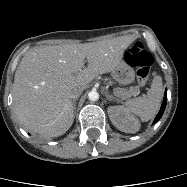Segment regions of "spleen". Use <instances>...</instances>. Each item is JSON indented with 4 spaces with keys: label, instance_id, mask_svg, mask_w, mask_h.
Returning a JSON list of instances; mask_svg holds the SVG:
<instances>
[{
    "label": "spleen",
    "instance_id": "1",
    "mask_svg": "<svg viewBox=\"0 0 187 187\" xmlns=\"http://www.w3.org/2000/svg\"><path fill=\"white\" fill-rule=\"evenodd\" d=\"M163 96V85L160 76L153 78L151 88L142 97L126 102L125 109L138 116L142 121H148L157 113Z\"/></svg>",
    "mask_w": 187,
    "mask_h": 187
}]
</instances>
